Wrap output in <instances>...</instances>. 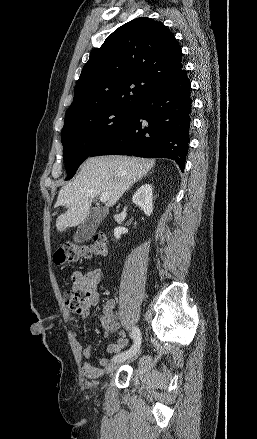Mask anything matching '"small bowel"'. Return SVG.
Masks as SVG:
<instances>
[{"instance_id": "c3829d8e", "label": "small bowel", "mask_w": 257, "mask_h": 439, "mask_svg": "<svg viewBox=\"0 0 257 439\" xmlns=\"http://www.w3.org/2000/svg\"><path fill=\"white\" fill-rule=\"evenodd\" d=\"M72 288L74 291H82L85 294V307L79 313L83 318L88 317L90 310L98 306L100 302V294L98 292V284L100 281V271L97 269H90L86 272L75 271L71 275ZM115 301L113 299L107 300L102 307V314L100 316V325L104 330L107 338H111L116 333H119L118 339L106 347V352L109 354L120 353L129 344L125 333L121 330V325L117 320L115 309ZM93 349L91 345L84 346L81 349V354L86 362L83 365V374L88 379H95L101 377L108 366L111 364L109 359L100 358L98 366H94L88 362L92 355Z\"/></svg>"}]
</instances>
